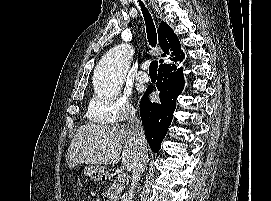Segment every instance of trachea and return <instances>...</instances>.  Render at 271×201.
<instances>
[{
    "label": "trachea",
    "mask_w": 271,
    "mask_h": 201,
    "mask_svg": "<svg viewBox=\"0 0 271 201\" xmlns=\"http://www.w3.org/2000/svg\"><path fill=\"white\" fill-rule=\"evenodd\" d=\"M138 2H139V5L141 6V10L145 18L148 42L152 47H155L157 44V35H156V29L153 23V19L148 9L143 4V2L141 0H138ZM157 68H158V62L156 60L152 61L149 67V73L157 74Z\"/></svg>",
    "instance_id": "trachea-1"
}]
</instances>
